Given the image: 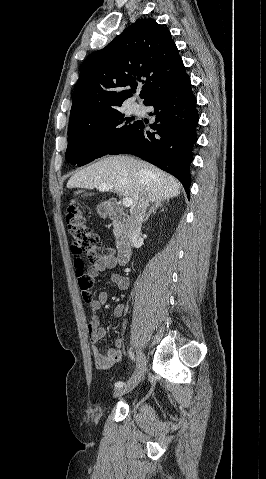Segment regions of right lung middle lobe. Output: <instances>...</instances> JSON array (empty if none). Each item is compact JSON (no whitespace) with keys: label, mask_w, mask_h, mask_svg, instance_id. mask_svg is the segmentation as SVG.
<instances>
[{"label":"right lung middle lobe","mask_w":266,"mask_h":479,"mask_svg":"<svg viewBox=\"0 0 266 479\" xmlns=\"http://www.w3.org/2000/svg\"><path fill=\"white\" fill-rule=\"evenodd\" d=\"M131 121L119 108L69 121L67 161L83 166L107 155L135 125Z\"/></svg>","instance_id":"right-lung-middle-lobe-1"}]
</instances>
